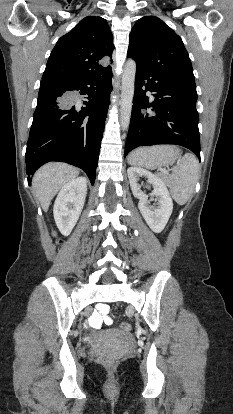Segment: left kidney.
<instances>
[{
  "mask_svg": "<svg viewBox=\"0 0 233 414\" xmlns=\"http://www.w3.org/2000/svg\"><path fill=\"white\" fill-rule=\"evenodd\" d=\"M127 173L132 193L134 197L139 199L138 207L143 218L153 232H162L173 210V201L165 183L156 175L140 167H129ZM141 176L147 177L148 183L153 186L151 195L155 196L158 201L157 208H152L148 204V195L141 190V186L138 184V179Z\"/></svg>",
  "mask_w": 233,
  "mask_h": 414,
  "instance_id": "obj_1",
  "label": "left kidney"
}]
</instances>
